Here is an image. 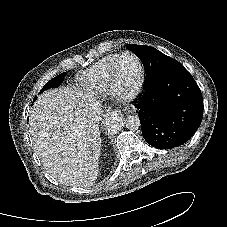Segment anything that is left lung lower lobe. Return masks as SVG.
Listing matches in <instances>:
<instances>
[{"label":"left lung lower lobe","instance_id":"left-lung-lower-lobe-1","mask_svg":"<svg viewBox=\"0 0 227 227\" xmlns=\"http://www.w3.org/2000/svg\"><path fill=\"white\" fill-rule=\"evenodd\" d=\"M134 103L144 139L159 149L184 144L196 132L203 117L201 91L185 68L146 84L145 91Z\"/></svg>","mask_w":227,"mask_h":227}]
</instances>
